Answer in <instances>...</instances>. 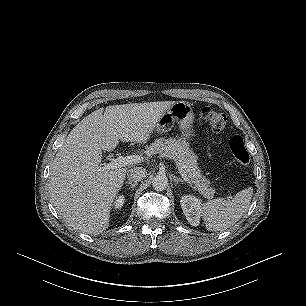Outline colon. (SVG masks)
I'll return each mask as SVG.
<instances>
[{"instance_id":"5ec220e1","label":"colon","mask_w":306,"mask_h":306,"mask_svg":"<svg viewBox=\"0 0 306 306\" xmlns=\"http://www.w3.org/2000/svg\"><path fill=\"white\" fill-rule=\"evenodd\" d=\"M202 118L212 133L221 132L227 122V118L223 113L210 107H205L202 110ZM229 148L238 164L246 166L249 163V154L241 136H232L229 140Z\"/></svg>"}]
</instances>
